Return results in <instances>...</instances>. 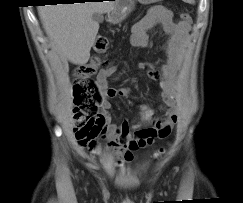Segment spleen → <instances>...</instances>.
Returning a JSON list of instances; mask_svg holds the SVG:
<instances>
[{
    "label": "spleen",
    "instance_id": "spleen-1",
    "mask_svg": "<svg viewBox=\"0 0 243 203\" xmlns=\"http://www.w3.org/2000/svg\"><path fill=\"white\" fill-rule=\"evenodd\" d=\"M184 1L188 3H194V0H184Z\"/></svg>",
    "mask_w": 243,
    "mask_h": 203
}]
</instances>
